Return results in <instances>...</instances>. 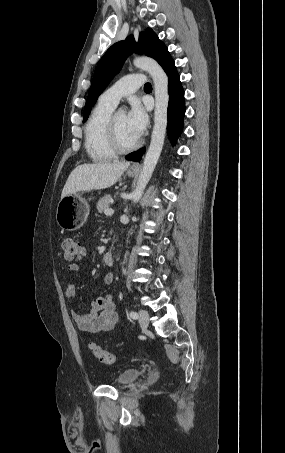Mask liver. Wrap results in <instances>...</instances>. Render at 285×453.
<instances>
[{
  "instance_id": "6515ba94",
  "label": "liver",
  "mask_w": 285,
  "mask_h": 453,
  "mask_svg": "<svg viewBox=\"0 0 285 453\" xmlns=\"http://www.w3.org/2000/svg\"><path fill=\"white\" fill-rule=\"evenodd\" d=\"M129 165L130 163L126 161L79 165L69 175L62 190L61 198L80 191L111 187Z\"/></svg>"
}]
</instances>
